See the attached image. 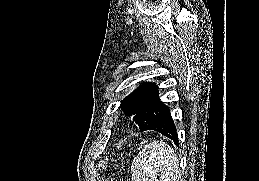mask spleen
Here are the masks:
<instances>
[{
    "label": "spleen",
    "mask_w": 259,
    "mask_h": 181,
    "mask_svg": "<svg viewBox=\"0 0 259 181\" xmlns=\"http://www.w3.org/2000/svg\"><path fill=\"white\" fill-rule=\"evenodd\" d=\"M132 181H182L179 160L164 141L144 146L131 165Z\"/></svg>",
    "instance_id": "3e777b00"
}]
</instances>
